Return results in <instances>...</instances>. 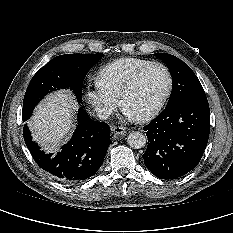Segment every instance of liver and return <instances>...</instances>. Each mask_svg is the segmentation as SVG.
<instances>
[{
    "instance_id": "liver-1",
    "label": "liver",
    "mask_w": 233,
    "mask_h": 233,
    "mask_svg": "<svg viewBox=\"0 0 233 233\" xmlns=\"http://www.w3.org/2000/svg\"><path fill=\"white\" fill-rule=\"evenodd\" d=\"M76 109L72 97L66 92L48 97L29 120L34 139L48 152L55 150L71 134Z\"/></svg>"
}]
</instances>
